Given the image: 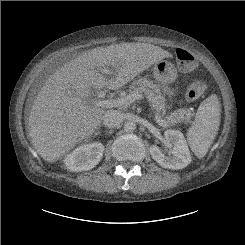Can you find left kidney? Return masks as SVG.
I'll use <instances>...</instances> for the list:
<instances>
[{"mask_svg":"<svg viewBox=\"0 0 245 245\" xmlns=\"http://www.w3.org/2000/svg\"><path fill=\"white\" fill-rule=\"evenodd\" d=\"M164 137L172 147V155L166 156L160 147L152 145L149 150L152 158L163 168L178 170L188 166L191 155L183 134L178 130L169 129L164 132Z\"/></svg>","mask_w":245,"mask_h":245,"instance_id":"5707ae66","label":"left kidney"}]
</instances>
